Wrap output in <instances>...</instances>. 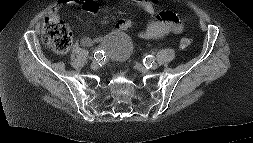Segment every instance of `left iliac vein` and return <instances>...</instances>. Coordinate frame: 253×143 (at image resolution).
Returning <instances> with one entry per match:
<instances>
[{"mask_svg": "<svg viewBox=\"0 0 253 143\" xmlns=\"http://www.w3.org/2000/svg\"><path fill=\"white\" fill-rule=\"evenodd\" d=\"M151 69H156L157 68V64L156 63H152V66H150ZM141 71H145L144 67L140 68Z\"/></svg>", "mask_w": 253, "mask_h": 143, "instance_id": "4c4485c4", "label": "left iliac vein"}]
</instances>
